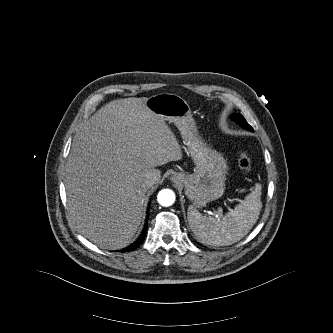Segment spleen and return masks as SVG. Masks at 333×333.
Listing matches in <instances>:
<instances>
[{
  "instance_id": "1",
  "label": "spleen",
  "mask_w": 333,
  "mask_h": 333,
  "mask_svg": "<svg viewBox=\"0 0 333 333\" xmlns=\"http://www.w3.org/2000/svg\"><path fill=\"white\" fill-rule=\"evenodd\" d=\"M261 188L260 184H256L240 204L221 218L203 216L190 205L187 219L195 237L211 246H227L241 240L259 218L262 208Z\"/></svg>"
}]
</instances>
